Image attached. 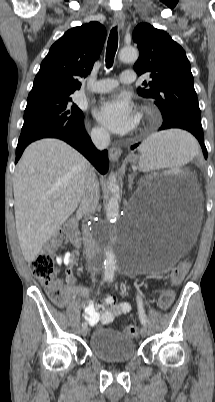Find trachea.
<instances>
[{"instance_id": "3493384b", "label": "trachea", "mask_w": 215, "mask_h": 402, "mask_svg": "<svg viewBox=\"0 0 215 402\" xmlns=\"http://www.w3.org/2000/svg\"><path fill=\"white\" fill-rule=\"evenodd\" d=\"M117 46H118V33L116 26L110 31V35L107 42L106 60H105L107 68H111L113 65V59L117 51Z\"/></svg>"}]
</instances>
